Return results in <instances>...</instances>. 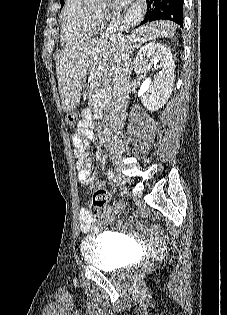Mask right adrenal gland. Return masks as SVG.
<instances>
[{
  "label": "right adrenal gland",
  "mask_w": 227,
  "mask_h": 315,
  "mask_svg": "<svg viewBox=\"0 0 227 315\" xmlns=\"http://www.w3.org/2000/svg\"><path fill=\"white\" fill-rule=\"evenodd\" d=\"M138 47H139V45H134L133 50L131 51V55H132L134 49H136V48H138Z\"/></svg>",
  "instance_id": "2a0ac1e0"
}]
</instances>
